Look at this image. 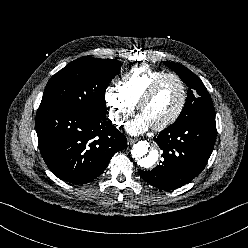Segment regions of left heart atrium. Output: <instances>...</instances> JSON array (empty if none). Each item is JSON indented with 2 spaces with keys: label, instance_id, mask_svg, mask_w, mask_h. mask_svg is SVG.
I'll return each mask as SVG.
<instances>
[{
  "label": "left heart atrium",
  "instance_id": "left-heart-atrium-1",
  "mask_svg": "<svg viewBox=\"0 0 248 248\" xmlns=\"http://www.w3.org/2000/svg\"><path fill=\"white\" fill-rule=\"evenodd\" d=\"M150 126L151 125L146 117L142 114H139L127 124L126 130L132 135H139L145 132Z\"/></svg>",
  "mask_w": 248,
  "mask_h": 248
}]
</instances>
